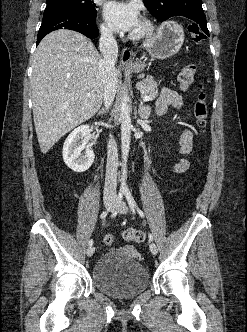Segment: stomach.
Instances as JSON below:
<instances>
[{
    "mask_svg": "<svg viewBox=\"0 0 247 332\" xmlns=\"http://www.w3.org/2000/svg\"><path fill=\"white\" fill-rule=\"evenodd\" d=\"M184 42V31L180 24L167 21L161 24L156 32L145 43L147 52L156 59H167L179 52ZM145 64L136 63L131 69L135 73L144 70Z\"/></svg>",
    "mask_w": 247,
    "mask_h": 332,
    "instance_id": "1",
    "label": "stomach"
}]
</instances>
